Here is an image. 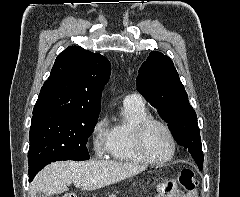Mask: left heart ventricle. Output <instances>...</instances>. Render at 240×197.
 I'll use <instances>...</instances> for the list:
<instances>
[{
  "instance_id": "left-heart-ventricle-1",
  "label": "left heart ventricle",
  "mask_w": 240,
  "mask_h": 197,
  "mask_svg": "<svg viewBox=\"0 0 240 197\" xmlns=\"http://www.w3.org/2000/svg\"><path fill=\"white\" fill-rule=\"evenodd\" d=\"M144 144L148 154L156 160H162L171 152V141L166 131L159 125L148 127L144 135Z\"/></svg>"
}]
</instances>
